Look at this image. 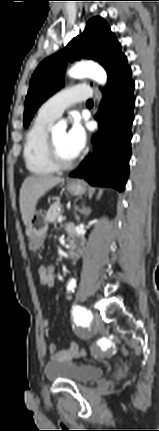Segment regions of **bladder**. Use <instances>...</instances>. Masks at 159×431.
Wrapping results in <instances>:
<instances>
[{
	"mask_svg": "<svg viewBox=\"0 0 159 431\" xmlns=\"http://www.w3.org/2000/svg\"><path fill=\"white\" fill-rule=\"evenodd\" d=\"M101 367L76 362H49L44 374L49 381H69L75 384H85L104 375Z\"/></svg>",
	"mask_w": 159,
	"mask_h": 431,
	"instance_id": "bladder-1",
	"label": "bladder"
}]
</instances>
